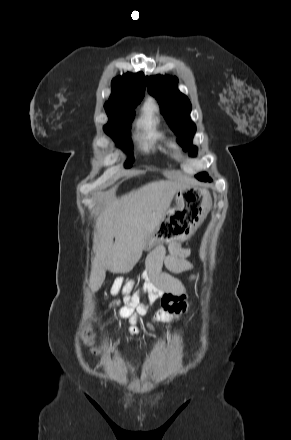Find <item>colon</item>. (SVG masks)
<instances>
[{"mask_svg":"<svg viewBox=\"0 0 291 440\" xmlns=\"http://www.w3.org/2000/svg\"><path fill=\"white\" fill-rule=\"evenodd\" d=\"M81 336L84 343L87 344L94 353L100 352L98 334L91 317L86 318Z\"/></svg>","mask_w":291,"mask_h":440,"instance_id":"1","label":"colon"}]
</instances>
